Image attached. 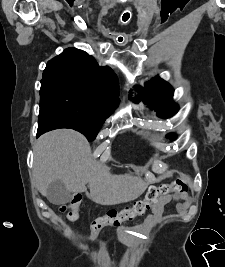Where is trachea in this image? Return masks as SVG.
<instances>
[{
    "instance_id": "1",
    "label": "trachea",
    "mask_w": 225,
    "mask_h": 267,
    "mask_svg": "<svg viewBox=\"0 0 225 267\" xmlns=\"http://www.w3.org/2000/svg\"><path fill=\"white\" fill-rule=\"evenodd\" d=\"M129 17H130V15L128 13H124L123 16H122V20L124 22H126V21H128Z\"/></svg>"
}]
</instances>
